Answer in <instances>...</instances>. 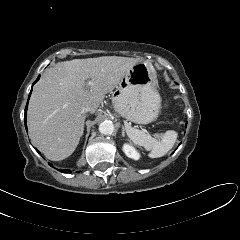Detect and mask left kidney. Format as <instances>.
I'll list each match as a JSON object with an SVG mask.
<instances>
[{
    "label": "left kidney",
    "mask_w": 240,
    "mask_h": 240,
    "mask_svg": "<svg viewBox=\"0 0 240 240\" xmlns=\"http://www.w3.org/2000/svg\"><path fill=\"white\" fill-rule=\"evenodd\" d=\"M123 151L126 154V156L129 158H132L134 160H138L140 158V154L130 144H124Z\"/></svg>",
    "instance_id": "5707ae66"
}]
</instances>
